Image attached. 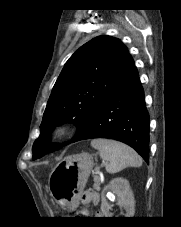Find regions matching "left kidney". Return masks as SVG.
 <instances>
[{"label": "left kidney", "instance_id": "1", "mask_svg": "<svg viewBox=\"0 0 181 227\" xmlns=\"http://www.w3.org/2000/svg\"><path fill=\"white\" fill-rule=\"evenodd\" d=\"M117 198V205L124 208V217H133L135 213V200L128 180L124 178H114L105 186L102 191L101 211L105 217H113L110 210L113 204L107 200Z\"/></svg>", "mask_w": 181, "mask_h": 227}]
</instances>
